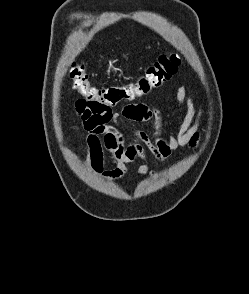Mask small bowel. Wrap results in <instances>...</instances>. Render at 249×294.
I'll return each mask as SVG.
<instances>
[{
  "label": "small bowel",
  "mask_w": 249,
  "mask_h": 294,
  "mask_svg": "<svg viewBox=\"0 0 249 294\" xmlns=\"http://www.w3.org/2000/svg\"><path fill=\"white\" fill-rule=\"evenodd\" d=\"M185 106L184 118L177 125L178 114ZM76 110L86 129L85 166L103 181H120L130 176L127 164L140 160L134 176L156 175L149 168L148 153L160 164L169 160L181 147L196 148L200 140V122L203 110L197 108L187 90L181 86L176 92V112L170 133L164 135L162 114L157 107L122 102L118 108L92 106L85 100L76 102ZM153 123L149 136L138 127ZM126 127L129 133L123 132ZM106 154L111 167L106 168Z\"/></svg>",
  "instance_id": "small-bowel-1"
}]
</instances>
